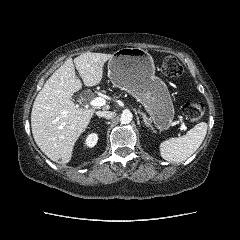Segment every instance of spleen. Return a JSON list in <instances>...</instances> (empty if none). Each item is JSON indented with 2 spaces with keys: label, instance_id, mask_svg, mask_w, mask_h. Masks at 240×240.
I'll use <instances>...</instances> for the list:
<instances>
[{
  "label": "spleen",
  "instance_id": "spleen-1",
  "mask_svg": "<svg viewBox=\"0 0 240 240\" xmlns=\"http://www.w3.org/2000/svg\"><path fill=\"white\" fill-rule=\"evenodd\" d=\"M208 125L198 123L186 135L169 138L160 144L162 158L170 162H182L190 157L202 144Z\"/></svg>",
  "mask_w": 240,
  "mask_h": 240
}]
</instances>
